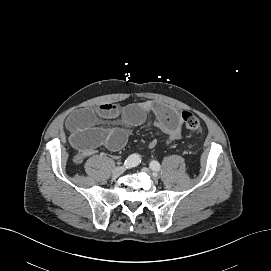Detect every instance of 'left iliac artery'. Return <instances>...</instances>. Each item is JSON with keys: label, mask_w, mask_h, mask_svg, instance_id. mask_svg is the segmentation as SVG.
Returning <instances> with one entry per match:
<instances>
[{"label": "left iliac artery", "mask_w": 271, "mask_h": 271, "mask_svg": "<svg viewBox=\"0 0 271 271\" xmlns=\"http://www.w3.org/2000/svg\"><path fill=\"white\" fill-rule=\"evenodd\" d=\"M150 168L155 172H159L160 171V164L157 161H151Z\"/></svg>", "instance_id": "left-iliac-artery-1"}]
</instances>
